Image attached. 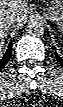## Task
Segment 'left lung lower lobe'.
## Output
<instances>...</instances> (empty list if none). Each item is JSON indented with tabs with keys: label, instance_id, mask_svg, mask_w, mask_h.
Masks as SVG:
<instances>
[{
	"label": "left lung lower lobe",
	"instance_id": "obj_1",
	"mask_svg": "<svg viewBox=\"0 0 63 107\" xmlns=\"http://www.w3.org/2000/svg\"><path fill=\"white\" fill-rule=\"evenodd\" d=\"M55 58L57 59V61L61 64V66L63 67V58H61L56 52H55Z\"/></svg>",
	"mask_w": 63,
	"mask_h": 107
}]
</instances>
